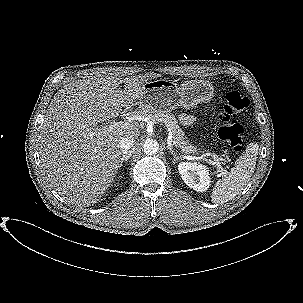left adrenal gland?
I'll list each match as a JSON object with an SVG mask.
<instances>
[{
	"instance_id": "obj_1",
	"label": "left adrenal gland",
	"mask_w": 303,
	"mask_h": 303,
	"mask_svg": "<svg viewBox=\"0 0 303 303\" xmlns=\"http://www.w3.org/2000/svg\"><path fill=\"white\" fill-rule=\"evenodd\" d=\"M169 149V148H168ZM170 153H171V155L173 156V160H174V162L175 161H177L178 159H179V157H178V155H177V153L175 152V151H173V150H171L170 149Z\"/></svg>"
}]
</instances>
